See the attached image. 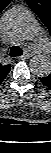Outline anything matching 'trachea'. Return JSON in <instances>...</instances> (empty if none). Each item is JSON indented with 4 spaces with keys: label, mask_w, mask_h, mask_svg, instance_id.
<instances>
[{
    "label": "trachea",
    "mask_w": 51,
    "mask_h": 153,
    "mask_svg": "<svg viewBox=\"0 0 51 153\" xmlns=\"http://www.w3.org/2000/svg\"><path fill=\"white\" fill-rule=\"evenodd\" d=\"M23 55V51L20 47L18 46H13L11 49H10V56L11 57H18V56H21Z\"/></svg>",
    "instance_id": "obj_1"
}]
</instances>
